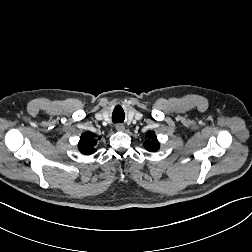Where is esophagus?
Here are the masks:
<instances>
[{"label": "esophagus", "instance_id": "obj_1", "mask_svg": "<svg viewBox=\"0 0 252 252\" xmlns=\"http://www.w3.org/2000/svg\"><path fill=\"white\" fill-rule=\"evenodd\" d=\"M116 129H117V131H124L125 127L123 124H117Z\"/></svg>", "mask_w": 252, "mask_h": 252}]
</instances>
